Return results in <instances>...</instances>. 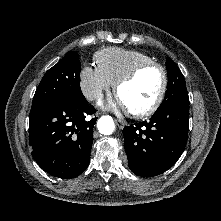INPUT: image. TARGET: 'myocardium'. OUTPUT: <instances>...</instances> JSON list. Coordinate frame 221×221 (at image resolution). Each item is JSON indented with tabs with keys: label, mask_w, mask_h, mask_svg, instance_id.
I'll return each mask as SVG.
<instances>
[{
	"label": "myocardium",
	"mask_w": 221,
	"mask_h": 221,
	"mask_svg": "<svg viewBox=\"0 0 221 221\" xmlns=\"http://www.w3.org/2000/svg\"><path fill=\"white\" fill-rule=\"evenodd\" d=\"M149 68H157L160 70V72L162 74L161 89H160L159 94L157 95L155 101L149 107H147L143 110H138V111L128 110V113L135 118H144V117L151 116L161 106V104L165 98L167 89H168V74H167L166 69L161 64L154 62V61L141 63V64L137 65L136 67H134L127 74H125L122 78H120L117 81V83L115 84V92H116V94H118L120 89L124 85L132 82L141 72H143L144 70L149 69Z\"/></svg>",
	"instance_id": "obj_1"
}]
</instances>
